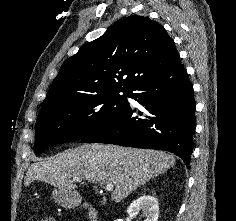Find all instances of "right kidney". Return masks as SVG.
Segmentation results:
<instances>
[{
  "mask_svg": "<svg viewBox=\"0 0 236 221\" xmlns=\"http://www.w3.org/2000/svg\"><path fill=\"white\" fill-rule=\"evenodd\" d=\"M142 211L146 217L144 221H157L159 216L158 201L150 195H142L134 200L127 209V213L132 216Z\"/></svg>",
  "mask_w": 236,
  "mask_h": 221,
  "instance_id": "obj_1",
  "label": "right kidney"
}]
</instances>
